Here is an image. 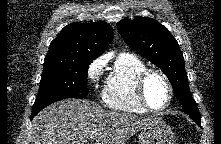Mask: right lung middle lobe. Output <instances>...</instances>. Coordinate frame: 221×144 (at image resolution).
<instances>
[{
    "instance_id": "right-lung-middle-lobe-1",
    "label": "right lung middle lobe",
    "mask_w": 221,
    "mask_h": 144,
    "mask_svg": "<svg viewBox=\"0 0 221 144\" xmlns=\"http://www.w3.org/2000/svg\"><path fill=\"white\" fill-rule=\"evenodd\" d=\"M91 61L45 62L32 113L37 114L53 102L88 95L87 72Z\"/></svg>"
}]
</instances>
